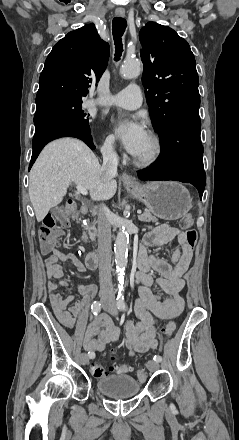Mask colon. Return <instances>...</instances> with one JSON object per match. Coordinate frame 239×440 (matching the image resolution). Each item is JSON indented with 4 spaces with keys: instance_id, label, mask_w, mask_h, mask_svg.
<instances>
[{
    "instance_id": "5ec220e1",
    "label": "colon",
    "mask_w": 239,
    "mask_h": 440,
    "mask_svg": "<svg viewBox=\"0 0 239 440\" xmlns=\"http://www.w3.org/2000/svg\"><path fill=\"white\" fill-rule=\"evenodd\" d=\"M77 207L74 202H68L67 204L57 207L54 213L48 216L45 221L43 228L40 232V243L43 252L48 253L53 250V247L58 241L60 236V231L56 228L55 222L58 220L62 224H69L70 221L77 218ZM194 218L193 215L188 213L184 215L180 220V226L186 232V238L189 245L194 246L197 240V232L193 228ZM176 324L174 321H170L164 327L163 331L167 337H171L175 332ZM111 360H115V355H111ZM129 370L126 365H116L111 367H106L100 362H93L91 364V374L94 377L107 376L110 372L125 373ZM137 378L139 381L145 379L144 370H139L137 372Z\"/></svg>"
}]
</instances>
